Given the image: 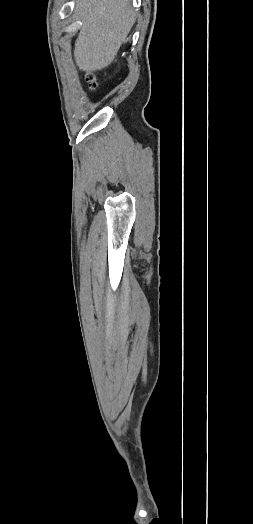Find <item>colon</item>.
<instances>
[{"label": "colon", "instance_id": "colon-1", "mask_svg": "<svg viewBox=\"0 0 253 524\" xmlns=\"http://www.w3.org/2000/svg\"><path fill=\"white\" fill-rule=\"evenodd\" d=\"M85 81L89 89L95 90L98 86L96 77L92 73H88L85 76Z\"/></svg>", "mask_w": 253, "mask_h": 524}]
</instances>
